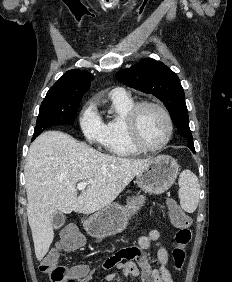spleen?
<instances>
[{
  "instance_id": "spleen-1",
  "label": "spleen",
  "mask_w": 232,
  "mask_h": 282,
  "mask_svg": "<svg viewBox=\"0 0 232 282\" xmlns=\"http://www.w3.org/2000/svg\"><path fill=\"white\" fill-rule=\"evenodd\" d=\"M179 199L181 207L188 213H193L199 202L200 185L197 176L190 170H184L179 177Z\"/></svg>"
}]
</instances>
